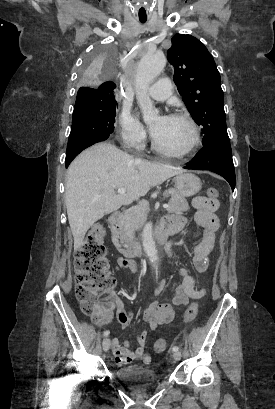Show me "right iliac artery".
<instances>
[{
    "mask_svg": "<svg viewBox=\"0 0 275 409\" xmlns=\"http://www.w3.org/2000/svg\"><path fill=\"white\" fill-rule=\"evenodd\" d=\"M109 334H110V331H109V330H106V331L103 332V336H104V337H107Z\"/></svg>",
    "mask_w": 275,
    "mask_h": 409,
    "instance_id": "82829eb1",
    "label": "right iliac artery"
}]
</instances>
